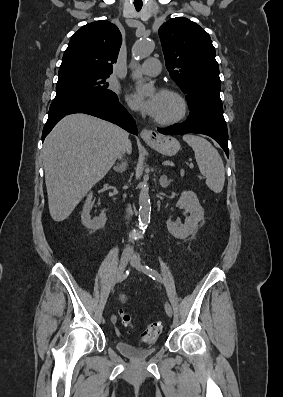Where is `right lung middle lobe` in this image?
Wrapping results in <instances>:
<instances>
[{
  "mask_svg": "<svg viewBox=\"0 0 283 397\" xmlns=\"http://www.w3.org/2000/svg\"><path fill=\"white\" fill-rule=\"evenodd\" d=\"M108 76L69 74L59 77L56 84V97L83 94L107 101H118L117 95L108 89Z\"/></svg>",
  "mask_w": 283,
  "mask_h": 397,
  "instance_id": "1",
  "label": "right lung middle lobe"
}]
</instances>
